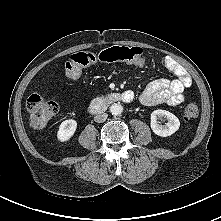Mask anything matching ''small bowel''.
Segmentation results:
<instances>
[{
    "instance_id": "small-bowel-1",
    "label": "small bowel",
    "mask_w": 221,
    "mask_h": 221,
    "mask_svg": "<svg viewBox=\"0 0 221 221\" xmlns=\"http://www.w3.org/2000/svg\"><path fill=\"white\" fill-rule=\"evenodd\" d=\"M164 67L173 74V80L159 79L150 83L140 94L139 101L144 106L159 104L177 105L184 101V90L192 79L185 68L171 57L163 58Z\"/></svg>"
}]
</instances>
